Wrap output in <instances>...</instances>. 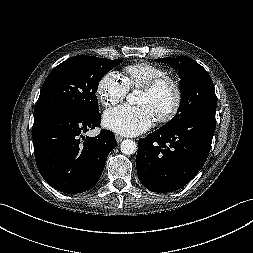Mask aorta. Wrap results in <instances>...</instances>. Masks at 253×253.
<instances>
[{
    "label": "aorta",
    "instance_id": "1",
    "mask_svg": "<svg viewBox=\"0 0 253 253\" xmlns=\"http://www.w3.org/2000/svg\"><path fill=\"white\" fill-rule=\"evenodd\" d=\"M138 94H139V91L133 90L127 96V102L131 105L135 104ZM120 150L125 155L134 154L137 151V144L133 140H130V139L123 140L120 146Z\"/></svg>",
    "mask_w": 253,
    "mask_h": 253
}]
</instances>
